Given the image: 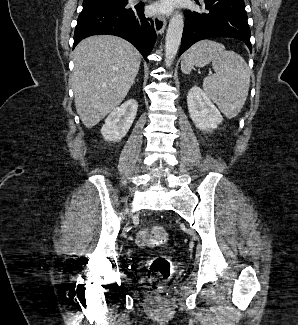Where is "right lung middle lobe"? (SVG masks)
<instances>
[{"label":"right lung middle lobe","instance_id":"obj_1","mask_svg":"<svg viewBox=\"0 0 298 325\" xmlns=\"http://www.w3.org/2000/svg\"><path fill=\"white\" fill-rule=\"evenodd\" d=\"M128 0H84L83 9L126 6Z\"/></svg>","mask_w":298,"mask_h":325}]
</instances>
